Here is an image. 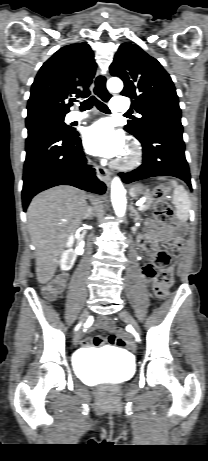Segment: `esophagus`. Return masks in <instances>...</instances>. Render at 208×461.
I'll use <instances>...</instances> for the list:
<instances>
[{
    "label": "esophagus",
    "mask_w": 208,
    "mask_h": 461,
    "mask_svg": "<svg viewBox=\"0 0 208 461\" xmlns=\"http://www.w3.org/2000/svg\"><path fill=\"white\" fill-rule=\"evenodd\" d=\"M107 78L108 76L105 75V84L107 82ZM109 94V93H108ZM110 95V94H109ZM97 174H98V177L104 181L105 183L109 184L110 183V179H111V173L109 170L105 169V168H97Z\"/></svg>",
    "instance_id": "34e87169"
}]
</instances>
